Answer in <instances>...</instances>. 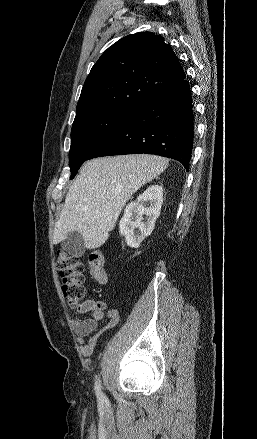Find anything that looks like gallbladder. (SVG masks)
I'll return each mask as SVG.
<instances>
[{"instance_id": "bac80fb5", "label": "gallbladder", "mask_w": 257, "mask_h": 439, "mask_svg": "<svg viewBox=\"0 0 257 439\" xmlns=\"http://www.w3.org/2000/svg\"><path fill=\"white\" fill-rule=\"evenodd\" d=\"M62 249L75 257H81L85 253L84 240L80 233L70 232L61 243Z\"/></svg>"}]
</instances>
